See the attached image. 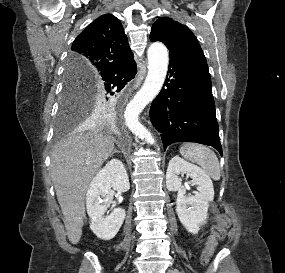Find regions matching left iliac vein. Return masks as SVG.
Wrapping results in <instances>:
<instances>
[{"label":"left iliac vein","mask_w":285,"mask_h":273,"mask_svg":"<svg viewBox=\"0 0 285 273\" xmlns=\"http://www.w3.org/2000/svg\"><path fill=\"white\" fill-rule=\"evenodd\" d=\"M167 273H181V272L177 269H171V270H168Z\"/></svg>","instance_id":"4c4485c4"}]
</instances>
